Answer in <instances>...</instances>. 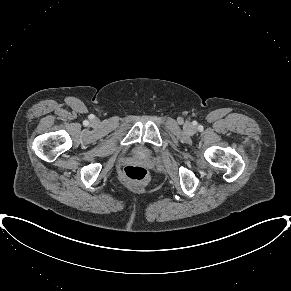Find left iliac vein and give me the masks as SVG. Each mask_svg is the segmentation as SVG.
Masks as SVG:
<instances>
[{
  "label": "left iliac vein",
  "instance_id": "4c4485c4",
  "mask_svg": "<svg viewBox=\"0 0 291 291\" xmlns=\"http://www.w3.org/2000/svg\"><path fill=\"white\" fill-rule=\"evenodd\" d=\"M186 130L191 133V132L194 131V127L191 124H187L186 125Z\"/></svg>",
  "mask_w": 291,
  "mask_h": 291
}]
</instances>
